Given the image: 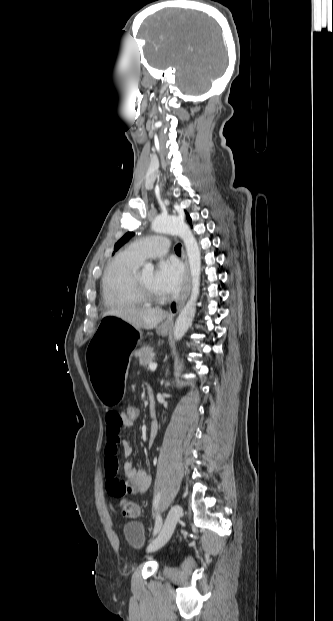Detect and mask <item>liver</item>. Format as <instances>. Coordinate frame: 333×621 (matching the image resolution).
Listing matches in <instances>:
<instances>
[{
  "instance_id": "6515ba94",
  "label": "liver",
  "mask_w": 333,
  "mask_h": 621,
  "mask_svg": "<svg viewBox=\"0 0 333 621\" xmlns=\"http://www.w3.org/2000/svg\"><path fill=\"white\" fill-rule=\"evenodd\" d=\"M113 315L127 323L144 329H153L166 317L165 311L159 308H124L112 309L104 313V316Z\"/></svg>"
}]
</instances>
